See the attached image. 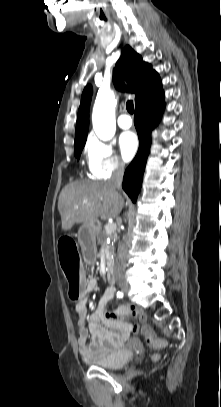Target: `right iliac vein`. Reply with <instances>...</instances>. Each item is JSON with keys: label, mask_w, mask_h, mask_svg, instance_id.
<instances>
[{"label": "right iliac vein", "mask_w": 221, "mask_h": 407, "mask_svg": "<svg viewBox=\"0 0 221 407\" xmlns=\"http://www.w3.org/2000/svg\"><path fill=\"white\" fill-rule=\"evenodd\" d=\"M119 286H120L122 292H124V293H127V292H128V289H129V288H128L127 283H125V282H120V283H119Z\"/></svg>", "instance_id": "right-iliac-vein-1"}]
</instances>
